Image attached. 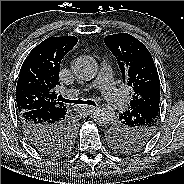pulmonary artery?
<instances>
[{
  "mask_svg": "<svg viewBox=\"0 0 184 184\" xmlns=\"http://www.w3.org/2000/svg\"><path fill=\"white\" fill-rule=\"evenodd\" d=\"M98 85L108 104L115 110L123 111L126 109L128 102L123 92L119 91L113 82V72L111 65L104 62L101 66L97 81L94 86ZM91 86L81 89H75L68 92L69 96H78L89 90Z\"/></svg>",
  "mask_w": 184,
  "mask_h": 184,
  "instance_id": "e3ab8cb5",
  "label": "pulmonary artery"
}]
</instances>
